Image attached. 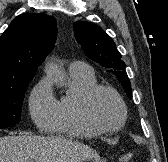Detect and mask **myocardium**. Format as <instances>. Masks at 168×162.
Segmentation results:
<instances>
[{
  "label": "myocardium",
  "instance_id": "f54148a6",
  "mask_svg": "<svg viewBox=\"0 0 168 162\" xmlns=\"http://www.w3.org/2000/svg\"><path fill=\"white\" fill-rule=\"evenodd\" d=\"M101 91L108 92L112 94L115 99L117 100L120 109H121V120L118 124L114 126H105L101 124L94 116L93 110H92V102L94 97ZM81 110L82 114L85 118V120L95 129L101 131V132H114L120 130L126 123L127 117H128V111L126 104L122 98V96L118 93L117 90H115L113 87L107 86V85H94L90 89L86 91L84 94L82 101H81Z\"/></svg>",
  "mask_w": 168,
  "mask_h": 162
}]
</instances>
